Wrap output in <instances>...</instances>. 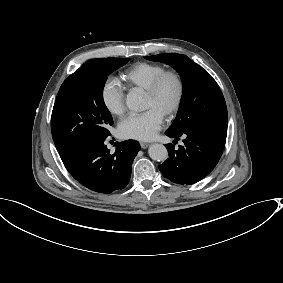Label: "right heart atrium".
I'll use <instances>...</instances> for the list:
<instances>
[{"mask_svg":"<svg viewBox=\"0 0 283 283\" xmlns=\"http://www.w3.org/2000/svg\"><path fill=\"white\" fill-rule=\"evenodd\" d=\"M101 99L107 111L114 116L125 112V88L115 77L107 78L101 86Z\"/></svg>","mask_w":283,"mask_h":283,"instance_id":"right-heart-atrium-1","label":"right heart atrium"}]
</instances>
